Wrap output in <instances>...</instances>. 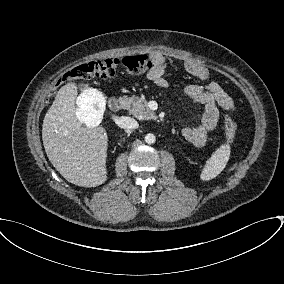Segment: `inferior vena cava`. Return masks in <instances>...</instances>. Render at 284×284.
Masks as SVG:
<instances>
[{"label": "inferior vena cava", "instance_id": "602c4592", "mask_svg": "<svg viewBox=\"0 0 284 284\" xmlns=\"http://www.w3.org/2000/svg\"><path fill=\"white\" fill-rule=\"evenodd\" d=\"M118 124L121 128H126V129H131V130L139 127V124L135 119L131 117H126V116L120 117Z\"/></svg>", "mask_w": 284, "mask_h": 284}]
</instances>
